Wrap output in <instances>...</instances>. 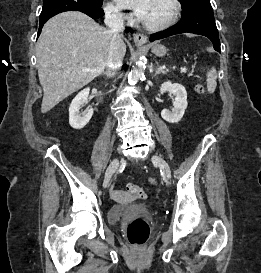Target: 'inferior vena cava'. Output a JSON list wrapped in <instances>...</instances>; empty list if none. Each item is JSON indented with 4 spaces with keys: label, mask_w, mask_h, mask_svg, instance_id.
<instances>
[{
    "label": "inferior vena cava",
    "mask_w": 261,
    "mask_h": 273,
    "mask_svg": "<svg viewBox=\"0 0 261 273\" xmlns=\"http://www.w3.org/2000/svg\"><path fill=\"white\" fill-rule=\"evenodd\" d=\"M104 22L112 34L106 67L108 71L115 75L117 71L121 69L123 61V55L120 52L119 45L121 40L120 33L125 29L124 20L120 13L109 8L105 10Z\"/></svg>",
    "instance_id": "obj_1"
}]
</instances>
